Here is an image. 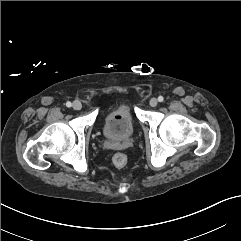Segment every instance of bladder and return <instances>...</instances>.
I'll return each instance as SVG.
<instances>
[{"label":"bladder","mask_w":241,"mask_h":241,"mask_svg":"<svg viewBox=\"0 0 241 241\" xmlns=\"http://www.w3.org/2000/svg\"><path fill=\"white\" fill-rule=\"evenodd\" d=\"M136 121L129 104L118 101L109 107L102 120V131L110 139H124L136 131Z\"/></svg>","instance_id":"obj_1"}]
</instances>
